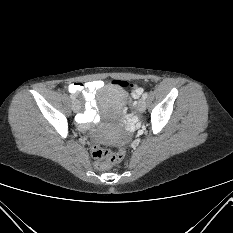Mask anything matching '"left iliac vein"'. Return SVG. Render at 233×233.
<instances>
[{
    "label": "left iliac vein",
    "mask_w": 233,
    "mask_h": 233,
    "mask_svg": "<svg viewBox=\"0 0 233 233\" xmlns=\"http://www.w3.org/2000/svg\"><path fill=\"white\" fill-rule=\"evenodd\" d=\"M146 109V102L145 99L141 98L137 103V110L142 113Z\"/></svg>",
    "instance_id": "obj_1"
}]
</instances>
